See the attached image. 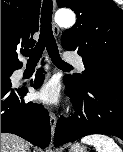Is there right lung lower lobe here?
I'll return each mask as SVG.
<instances>
[{
  "mask_svg": "<svg viewBox=\"0 0 123 152\" xmlns=\"http://www.w3.org/2000/svg\"><path fill=\"white\" fill-rule=\"evenodd\" d=\"M44 75L39 71L34 87L42 84ZM27 89H13L11 82L1 84V132L16 134L32 144L46 148L50 141V122L47 111L38 104L25 102Z\"/></svg>",
  "mask_w": 123,
  "mask_h": 152,
  "instance_id": "1",
  "label": "right lung lower lobe"
}]
</instances>
